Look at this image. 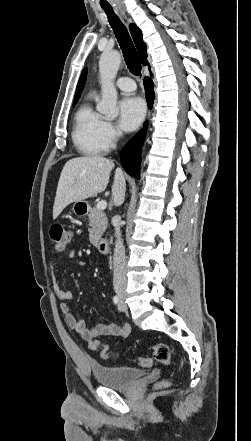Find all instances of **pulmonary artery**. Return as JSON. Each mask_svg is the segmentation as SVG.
<instances>
[{"instance_id":"1","label":"pulmonary artery","mask_w":251,"mask_h":441,"mask_svg":"<svg viewBox=\"0 0 251 441\" xmlns=\"http://www.w3.org/2000/svg\"><path fill=\"white\" fill-rule=\"evenodd\" d=\"M119 89L125 92H133L136 89L135 82L129 77H121L116 81Z\"/></svg>"}]
</instances>
